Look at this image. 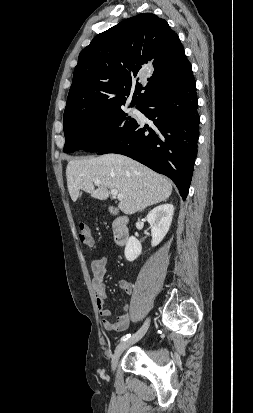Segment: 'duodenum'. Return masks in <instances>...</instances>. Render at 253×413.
<instances>
[{
  "label": "duodenum",
  "instance_id": "duodenum-1",
  "mask_svg": "<svg viewBox=\"0 0 253 413\" xmlns=\"http://www.w3.org/2000/svg\"><path fill=\"white\" fill-rule=\"evenodd\" d=\"M128 222L129 219L125 215L117 217L113 222L114 240L118 245L126 244L129 239Z\"/></svg>",
  "mask_w": 253,
  "mask_h": 413
}]
</instances>
